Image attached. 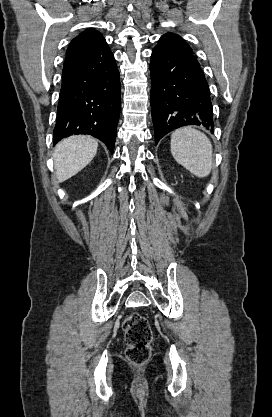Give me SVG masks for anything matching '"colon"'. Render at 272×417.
Masks as SVG:
<instances>
[{"instance_id": "5ec220e1", "label": "colon", "mask_w": 272, "mask_h": 417, "mask_svg": "<svg viewBox=\"0 0 272 417\" xmlns=\"http://www.w3.org/2000/svg\"><path fill=\"white\" fill-rule=\"evenodd\" d=\"M123 330L126 359L136 366L145 364L150 358L152 343V332L147 319L139 313H133L125 319Z\"/></svg>"}]
</instances>
